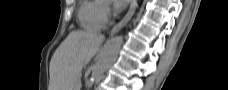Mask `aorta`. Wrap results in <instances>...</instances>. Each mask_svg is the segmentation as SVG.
<instances>
[{
	"label": "aorta",
	"instance_id": "aorta-1",
	"mask_svg": "<svg viewBox=\"0 0 228 90\" xmlns=\"http://www.w3.org/2000/svg\"><path fill=\"white\" fill-rule=\"evenodd\" d=\"M122 43V36L111 38L106 42L93 67L90 78L91 81L97 80L114 63L118 56Z\"/></svg>",
	"mask_w": 228,
	"mask_h": 90
}]
</instances>
